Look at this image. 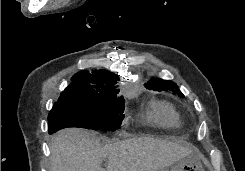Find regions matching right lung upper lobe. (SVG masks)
Returning a JSON list of instances; mask_svg holds the SVG:
<instances>
[{"label":"right lung upper lobe","instance_id":"right-lung-upper-lobe-1","mask_svg":"<svg viewBox=\"0 0 245 171\" xmlns=\"http://www.w3.org/2000/svg\"><path fill=\"white\" fill-rule=\"evenodd\" d=\"M118 77L105 70H94L92 74L80 71L72 77V83L60 93L57 102L64 100H99L117 97L116 84Z\"/></svg>","mask_w":245,"mask_h":171}]
</instances>
